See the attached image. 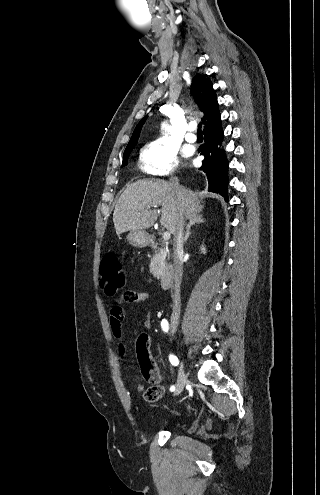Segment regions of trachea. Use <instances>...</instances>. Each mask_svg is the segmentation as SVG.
<instances>
[{"mask_svg": "<svg viewBox=\"0 0 320 495\" xmlns=\"http://www.w3.org/2000/svg\"><path fill=\"white\" fill-rule=\"evenodd\" d=\"M201 128H202V123L200 122V123L198 124V130H197V134H198V135H202V133H201Z\"/></svg>", "mask_w": 320, "mask_h": 495, "instance_id": "trachea-1", "label": "trachea"}]
</instances>
